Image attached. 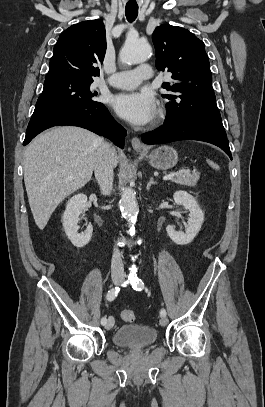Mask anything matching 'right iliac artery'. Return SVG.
<instances>
[{
    "label": "right iliac artery",
    "instance_id": "1",
    "mask_svg": "<svg viewBox=\"0 0 265 407\" xmlns=\"http://www.w3.org/2000/svg\"><path fill=\"white\" fill-rule=\"evenodd\" d=\"M127 283H128V282L126 281V282H124L121 286H122V287H126ZM119 291H120V287H115V288L110 289V290L108 291V293H107V296H106L107 300H108V301H113V300L117 297ZM106 322H107V319H106L105 317H103V318L101 319V324H102V325H105Z\"/></svg>",
    "mask_w": 265,
    "mask_h": 407
}]
</instances>
